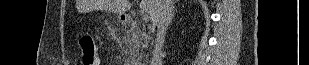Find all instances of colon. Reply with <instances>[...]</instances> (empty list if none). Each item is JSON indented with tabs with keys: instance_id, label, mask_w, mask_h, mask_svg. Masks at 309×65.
<instances>
[{
	"instance_id": "5ec220e1",
	"label": "colon",
	"mask_w": 309,
	"mask_h": 65,
	"mask_svg": "<svg viewBox=\"0 0 309 65\" xmlns=\"http://www.w3.org/2000/svg\"><path fill=\"white\" fill-rule=\"evenodd\" d=\"M79 45L82 53V64L97 65L99 61V55L92 36L88 33H84L80 37Z\"/></svg>"
}]
</instances>
